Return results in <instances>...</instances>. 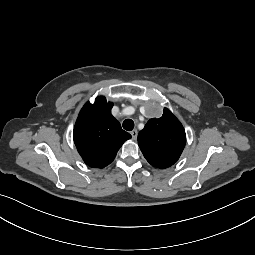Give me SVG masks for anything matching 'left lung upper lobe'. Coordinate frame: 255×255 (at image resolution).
I'll return each mask as SVG.
<instances>
[{
  "mask_svg": "<svg viewBox=\"0 0 255 255\" xmlns=\"http://www.w3.org/2000/svg\"><path fill=\"white\" fill-rule=\"evenodd\" d=\"M186 144L180 121L164 108L162 117L152 118L138 134V145L154 167L168 168L177 162Z\"/></svg>",
  "mask_w": 255,
  "mask_h": 255,
  "instance_id": "5c2ea615",
  "label": "left lung upper lobe"
}]
</instances>
